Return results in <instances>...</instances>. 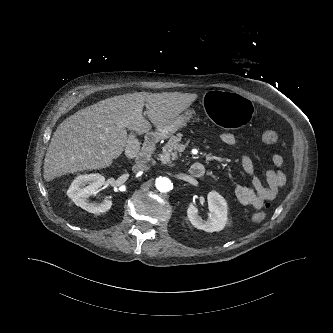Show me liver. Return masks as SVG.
Masks as SVG:
<instances>
[{
	"instance_id": "1",
	"label": "liver",
	"mask_w": 333,
	"mask_h": 333,
	"mask_svg": "<svg viewBox=\"0 0 333 333\" xmlns=\"http://www.w3.org/2000/svg\"><path fill=\"white\" fill-rule=\"evenodd\" d=\"M197 98L193 93L135 92L114 96L88 106L65 119L56 129L44 159L46 180L68 173L102 169L121 155L128 136L151 129L146 115L161 127L183 113Z\"/></svg>"
}]
</instances>
